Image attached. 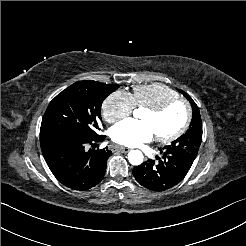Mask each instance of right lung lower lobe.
Returning <instances> with one entry per match:
<instances>
[{
    "label": "right lung lower lobe",
    "instance_id": "right-lung-lower-lobe-1",
    "mask_svg": "<svg viewBox=\"0 0 246 246\" xmlns=\"http://www.w3.org/2000/svg\"><path fill=\"white\" fill-rule=\"evenodd\" d=\"M105 139L104 135L86 138L77 135L49 133L40 135L45 161L54 176L65 186L85 191L103 178L111 151L89 149V144Z\"/></svg>",
    "mask_w": 246,
    "mask_h": 246
}]
</instances>
